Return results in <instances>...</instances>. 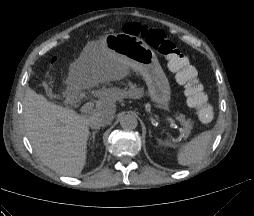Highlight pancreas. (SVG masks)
<instances>
[{
    "instance_id": "obj_1",
    "label": "pancreas",
    "mask_w": 254,
    "mask_h": 216,
    "mask_svg": "<svg viewBox=\"0 0 254 216\" xmlns=\"http://www.w3.org/2000/svg\"><path fill=\"white\" fill-rule=\"evenodd\" d=\"M176 119L181 123V125L184 128L183 137L187 138L189 134L191 133L193 122L190 119H186L183 114L176 116Z\"/></svg>"
}]
</instances>
